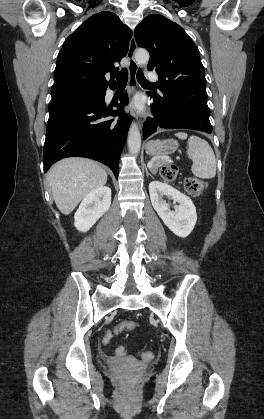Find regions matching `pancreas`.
<instances>
[{"mask_svg":"<svg viewBox=\"0 0 264 419\" xmlns=\"http://www.w3.org/2000/svg\"><path fill=\"white\" fill-rule=\"evenodd\" d=\"M166 161H167L166 159H159V160L155 161L154 164H153V166H152V168H151V171L153 173H156L157 170H158V168L161 167V166H163Z\"/></svg>","mask_w":264,"mask_h":419,"instance_id":"obj_1","label":"pancreas"}]
</instances>
